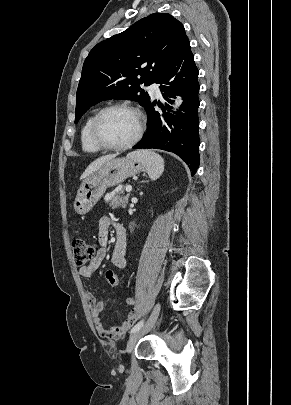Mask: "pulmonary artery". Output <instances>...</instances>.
<instances>
[{"label": "pulmonary artery", "mask_w": 291, "mask_h": 405, "mask_svg": "<svg viewBox=\"0 0 291 405\" xmlns=\"http://www.w3.org/2000/svg\"><path fill=\"white\" fill-rule=\"evenodd\" d=\"M149 91L153 94V93H156V94H159V85L157 84V83H152L150 86H149Z\"/></svg>", "instance_id": "e3ab8cb5"}]
</instances>
